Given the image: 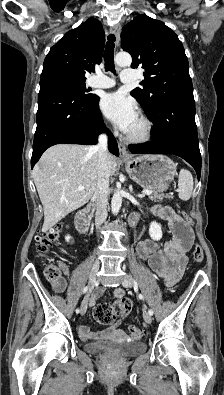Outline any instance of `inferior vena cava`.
<instances>
[{"instance_id": "1", "label": "inferior vena cava", "mask_w": 224, "mask_h": 395, "mask_svg": "<svg viewBox=\"0 0 224 395\" xmlns=\"http://www.w3.org/2000/svg\"><path fill=\"white\" fill-rule=\"evenodd\" d=\"M98 155L97 163V185L93 194V200L96 205L95 225L98 229L107 218L108 189H109V169H108V150L107 136L101 134L98 138V144L94 147Z\"/></svg>"}]
</instances>
